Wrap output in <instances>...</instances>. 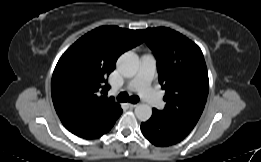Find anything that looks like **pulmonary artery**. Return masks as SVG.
Segmentation results:
<instances>
[{"label":"pulmonary artery","mask_w":261,"mask_h":162,"mask_svg":"<svg viewBox=\"0 0 261 162\" xmlns=\"http://www.w3.org/2000/svg\"><path fill=\"white\" fill-rule=\"evenodd\" d=\"M156 63L154 55L151 53L144 54L141 57L137 74L127 83L126 88L131 91H137L153 107L161 110L164 108L165 103L151 87V81L156 71Z\"/></svg>","instance_id":"pulmonary-artery-1"}]
</instances>
